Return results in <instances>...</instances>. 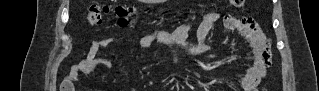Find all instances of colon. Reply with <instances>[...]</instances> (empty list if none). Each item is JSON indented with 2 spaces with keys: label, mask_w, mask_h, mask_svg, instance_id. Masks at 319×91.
<instances>
[{
  "label": "colon",
  "mask_w": 319,
  "mask_h": 91,
  "mask_svg": "<svg viewBox=\"0 0 319 91\" xmlns=\"http://www.w3.org/2000/svg\"><path fill=\"white\" fill-rule=\"evenodd\" d=\"M229 3L235 7H242L244 4V0H230ZM133 11V7L126 5L113 6L104 4H93L87 9L84 20L91 27H100L105 23L106 16L109 14H113L118 18L117 25L119 27H133L135 26L136 22L128 18L130 13H132ZM264 59L266 65L268 66L270 64V52L268 48L264 51Z\"/></svg>",
  "instance_id": "5ec220e1"
}]
</instances>
